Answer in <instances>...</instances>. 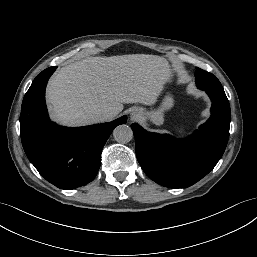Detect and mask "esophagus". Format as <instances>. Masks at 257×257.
I'll use <instances>...</instances> for the list:
<instances>
[{"label": "esophagus", "instance_id": "obj_1", "mask_svg": "<svg viewBox=\"0 0 257 257\" xmlns=\"http://www.w3.org/2000/svg\"><path fill=\"white\" fill-rule=\"evenodd\" d=\"M130 117H131L132 120H136V119H138V117H139V113H137V112H132V113L130 114Z\"/></svg>", "mask_w": 257, "mask_h": 257}]
</instances>
